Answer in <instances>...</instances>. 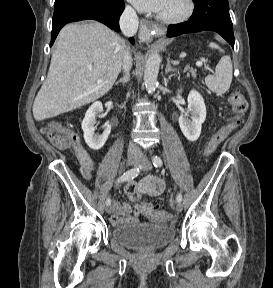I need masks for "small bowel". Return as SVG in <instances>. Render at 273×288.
<instances>
[{"instance_id": "c3829d8e", "label": "small bowel", "mask_w": 273, "mask_h": 288, "mask_svg": "<svg viewBox=\"0 0 273 288\" xmlns=\"http://www.w3.org/2000/svg\"><path fill=\"white\" fill-rule=\"evenodd\" d=\"M76 156L81 165L82 176L89 180L92 177L94 163L83 146L76 142L74 145ZM165 189L164 181L158 177L147 176L140 182L128 181L125 186V192L129 200L135 203L132 209L131 205L125 202H116L114 204V213L112 216V224L119 225L122 223H136L142 214H145L140 205L137 204L142 195L159 196Z\"/></svg>"}]
</instances>
